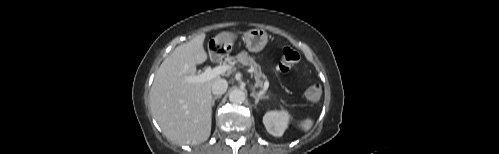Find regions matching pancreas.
Instances as JSON below:
<instances>
[{"mask_svg": "<svg viewBox=\"0 0 499 154\" xmlns=\"http://www.w3.org/2000/svg\"><path fill=\"white\" fill-rule=\"evenodd\" d=\"M239 63L245 66H249L251 72L254 74L256 84L258 86L263 85V81H267V77L261 72L260 66L255 62V60L246 52L242 51L236 56Z\"/></svg>", "mask_w": 499, "mask_h": 154, "instance_id": "1", "label": "pancreas"}]
</instances>
